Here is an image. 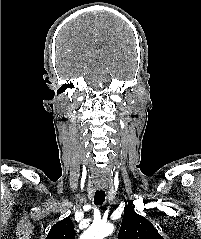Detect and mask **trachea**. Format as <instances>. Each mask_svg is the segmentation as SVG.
<instances>
[{
    "instance_id": "3493384b",
    "label": "trachea",
    "mask_w": 201,
    "mask_h": 239,
    "mask_svg": "<svg viewBox=\"0 0 201 239\" xmlns=\"http://www.w3.org/2000/svg\"><path fill=\"white\" fill-rule=\"evenodd\" d=\"M105 201V191L97 190L94 196V204L96 206L102 205Z\"/></svg>"
}]
</instances>
